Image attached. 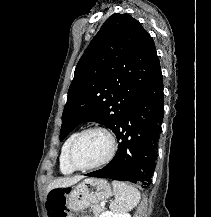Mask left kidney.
<instances>
[{
	"instance_id": "left-kidney-1",
	"label": "left kidney",
	"mask_w": 211,
	"mask_h": 217,
	"mask_svg": "<svg viewBox=\"0 0 211 217\" xmlns=\"http://www.w3.org/2000/svg\"><path fill=\"white\" fill-rule=\"evenodd\" d=\"M100 217H131L128 213L117 214L112 211H106L100 215Z\"/></svg>"
}]
</instances>
